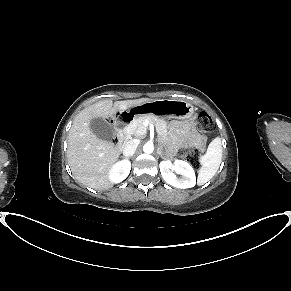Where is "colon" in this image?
I'll list each match as a JSON object with an SVG mask.
<instances>
[{
  "label": "colon",
  "instance_id": "obj_1",
  "mask_svg": "<svg viewBox=\"0 0 291 291\" xmlns=\"http://www.w3.org/2000/svg\"><path fill=\"white\" fill-rule=\"evenodd\" d=\"M118 120L122 118V113L116 116ZM196 128L201 133L210 132L214 129V121L207 113L199 114L197 118ZM113 143H119V135L117 132L113 135ZM182 158L192 165H197L199 159V151L196 148L187 147L180 152Z\"/></svg>",
  "mask_w": 291,
  "mask_h": 291
}]
</instances>
